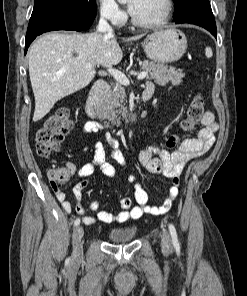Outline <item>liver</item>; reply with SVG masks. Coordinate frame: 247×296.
<instances>
[{"label": "liver", "mask_w": 247, "mask_h": 296, "mask_svg": "<svg viewBox=\"0 0 247 296\" xmlns=\"http://www.w3.org/2000/svg\"><path fill=\"white\" fill-rule=\"evenodd\" d=\"M122 57L116 38L100 32H51L37 39L29 50V76L35 97L33 121L41 120L60 99L86 87L96 74V66L111 68ZM87 64L92 67L87 68Z\"/></svg>", "instance_id": "1"}]
</instances>
